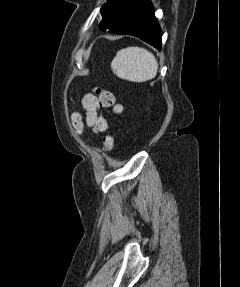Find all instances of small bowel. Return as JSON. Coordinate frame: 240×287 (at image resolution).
Here are the masks:
<instances>
[{
	"label": "small bowel",
	"instance_id": "1",
	"mask_svg": "<svg viewBox=\"0 0 240 287\" xmlns=\"http://www.w3.org/2000/svg\"><path fill=\"white\" fill-rule=\"evenodd\" d=\"M82 106L85 110V120L87 126H89L95 133H103L108 128L106 118L99 112L101 105L98 98L92 94H86L82 99Z\"/></svg>",
	"mask_w": 240,
	"mask_h": 287
}]
</instances>
